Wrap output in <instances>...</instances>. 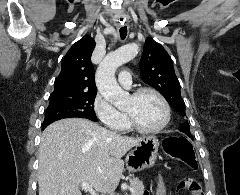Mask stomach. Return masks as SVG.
<instances>
[{"label": "stomach", "instance_id": "obj_1", "mask_svg": "<svg viewBox=\"0 0 240 195\" xmlns=\"http://www.w3.org/2000/svg\"><path fill=\"white\" fill-rule=\"evenodd\" d=\"M159 141L156 135H144L142 141L126 155V169L141 171L154 165L158 155Z\"/></svg>", "mask_w": 240, "mask_h": 195}]
</instances>
